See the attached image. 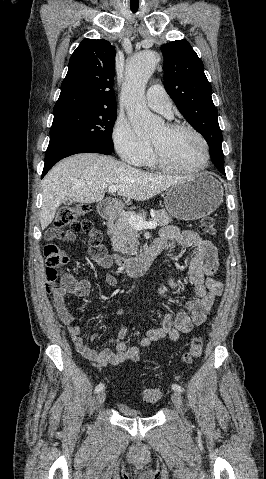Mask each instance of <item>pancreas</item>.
I'll use <instances>...</instances> for the list:
<instances>
[{"label":"pancreas","instance_id":"obj_1","mask_svg":"<svg viewBox=\"0 0 266 479\" xmlns=\"http://www.w3.org/2000/svg\"><path fill=\"white\" fill-rule=\"evenodd\" d=\"M135 213L128 212L118 217L115 222L109 224V235L112 242L113 250L125 255H133L137 253L138 231L128 221V218ZM143 220L146 219L145 214H138ZM151 221L156 222L159 226H166L172 222V218L165 210H157L153 212Z\"/></svg>","mask_w":266,"mask_h":479}]
</instances>
